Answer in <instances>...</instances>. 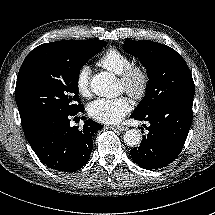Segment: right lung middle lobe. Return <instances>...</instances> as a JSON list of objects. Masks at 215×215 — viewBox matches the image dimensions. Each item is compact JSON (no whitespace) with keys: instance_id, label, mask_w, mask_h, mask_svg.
Returning a JSON list of instances; mask_svg holds the SVG:
<instances>
[{"instance_id":"dd1d6c3e","label":"right lung middle lobe","mask_w":215,"mask_h":215,"mask_svg":"<svg viewBox=\"0 0 215 215\" xmlns=\"http://www.w3.org/2000/svg\"><path fill=\"white\" fill-rule=\"evenodd\" d=\"M107 45L103 40L65 44L37 65L18 74L15 99L23 129L54 114H73L82 109L78 98L81 67Z\"/></svg>"}]
</instances>
